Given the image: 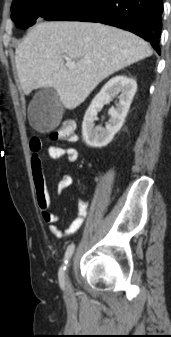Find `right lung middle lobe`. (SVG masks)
Segmentation results:
<instances>
[{
    "label": "right lung middle lobe",
    "instance_id": "1",
    "mask_svg": "<svg viewBox=\"0 0 171 337\" xmlns=\"http://www.w3.org/2000/svg\"><path fill=\"white\" fill-rule=\"evenodd\" d=\"M68 0H13L11 18L16 27L25 29L39 18H46Z\"/></svg>",
    "mask_w": 171,
    "mask_h": 337
}]
</instances>
